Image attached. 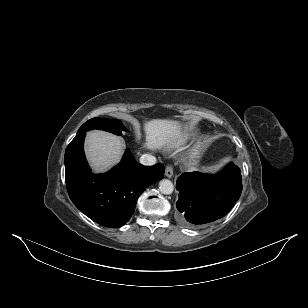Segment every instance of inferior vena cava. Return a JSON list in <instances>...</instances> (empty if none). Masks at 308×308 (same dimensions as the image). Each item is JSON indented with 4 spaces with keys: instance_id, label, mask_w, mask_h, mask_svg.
<instances>
[{
    "instance_id": "inferior-vena-cava-1",
    "label": "inferior vena cava",
    "mask_w": 308,
    "mask_h": 308,
    "mask_svg": "<svg viewBox=\"0 0 308 308\" xmlns=\"http://www.w3.org/2000/svg\"><path fill=\"white\" fill-rule=\"evenodd\" d=\"M140 163L142 165L151 166L156 164V158L150 154H143L140 157Z\"/></svg>"
}]
</instances>
